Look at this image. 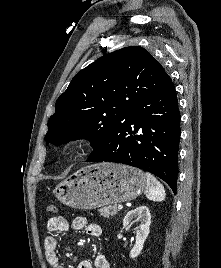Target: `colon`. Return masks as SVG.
<instances>
[{"label": "colon", "instance_id": "colon-1", "mask_svg": "<svg viewBox=\"0 0 221 268\" xmlns=\"http://www.w3.org/2000/svg\"><path fill=\"white\" fill-rule=\"evenodd\" d=\"M47 212L49 214H55L57 212V207L53 204L47 206Z\"/></svg>", "mask_w": 221, "mask_h": 268}]
</instances>
